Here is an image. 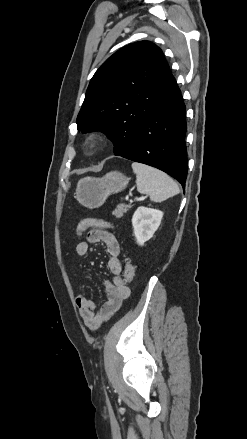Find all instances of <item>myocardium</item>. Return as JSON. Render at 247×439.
<instances>
[{
    "label": "myocardium",
    "mask_w": 247,
    "mask_h": 439,
    "mask_svg": "<svg viewBox=\"0 0 247 439\" xmlns=\"http://www.w3.org/2000/svg\"><path fill=\"white\" fill-rule=\"evenodd\" d=\"M101 140L102 139L99 134L91 133L85 138L83 146L86 150L93 151L100 146Z\"/></svg>",
    "instance_id": "1"
}]
</instances>
